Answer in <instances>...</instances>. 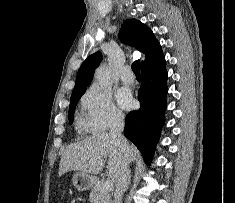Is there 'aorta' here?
Here are the masks:
<instances>
[{
	"label": "aorta",
	"mask_w": 235,
	"mask_h": 203,
	"mask_svg": "<svg viewBox=\"0 0 235 203\" xmlns=\"http://www.w3.org/2000/svg\"><path fill=\"white\" fill-rule=\"evenodd\" d=\"M96 80L101 88L111 86L110 70L106 65H100L95 71Z\"/></svg>",
	"instance_id": "1"
}]
</instances>
